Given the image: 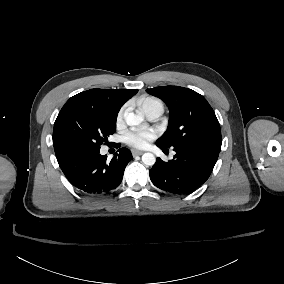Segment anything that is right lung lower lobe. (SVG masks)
I'll return each mask as SVG.
<instances>
[{"instance_id":"1","label":"right lung lower lobe","mask_w":284,"mask_h":284,"mask_svg":"<svg viewBox=\"0 0 284 284\" xmlns=\"http://www.w3.org/2000/svg\"><path fill=\"white\" fill-rule=\"evenodd\" d=\"M99 151L100 148L87 149L57 157L66 178L86 194H105L117 188L126 165L133 159L127 148H120L110 162Z\"/></svg>"}]
</instances>
